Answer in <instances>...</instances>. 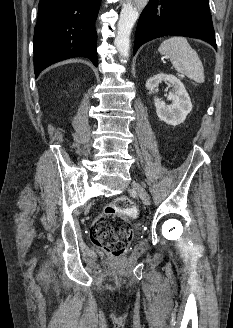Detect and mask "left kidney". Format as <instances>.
<instances>
[{"label":"left kidney","instance_id":"obj_1","mask_svg":"<svg viewBox=\"0 0 233 328\" xmlns=\"http://www.w3.org/2000/svg\"><path fill=\"white\" fill-rule=\"evenodd\" d=\"M162 81H167L172 87V91L168 95L171 105H166L164 101L155 97L154 105L156 107V113L160 120L175 126L186 119L192 110V103L183 83L173 75L160 73L150 77L146 81V88L152 91Z\"/></svg>","mask_w":233,"mask_h":328}]
</instances>
